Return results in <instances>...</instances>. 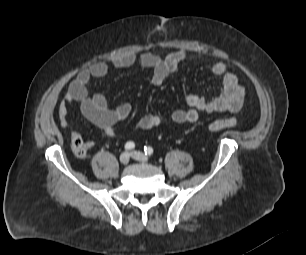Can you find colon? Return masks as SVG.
I'll return each mask as SVG.
<instances>
[{"instance_id": "1", "label": "colon", "mask_w": 306, "mask_h": 255, "mask_svg": "<svg viewBox=\"0 0 306 255\" xmlns=\"http://www.w3.org/2000/svg\"><path fill=\"white\" fill-rule=\"evenodd\" d=\"M237 125L235 118L217 119L208 125L210 131H220L224 129L234 128ZM71 148L75 156L84 157L89 149L87 141H85L79 134L73 133L71 135Z\"/></svg>"}]
</instances>
